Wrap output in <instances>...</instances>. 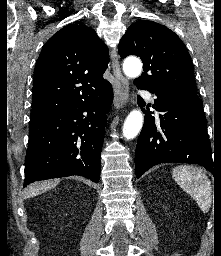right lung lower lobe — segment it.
<instances>
[{"label": "right lung lower lobe", "mask_w": 221, "mask_h": 256, "mask_svg": "<svg viewBox=\"0 0 221 256\" xmlns=\"http://www.w3.org/2000/svg\"><path fill=\"white\" fill-rule=\"evenodd\" d=\"M112 86L100 94L30 122L24 187L34 181L80 175L100 178V154Z\"/></svg>", "instance_id": "1"}]
</instances>
